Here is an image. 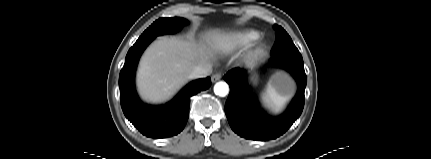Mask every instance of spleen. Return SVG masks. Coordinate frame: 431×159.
<instances>
[{"label":"spleen","mask_w":431,"mask_h":159,"mask_svg":"<svg viewBox=\"0 0 431 159\" xmlns=\"http://www.w3.org/2000/svg\"><path fill=\"white\" fill-rule=\"evenodd\" d=\"M261 101L265 107L278 112L289 101V97L278 94L269 84L265 92L262 93Z\"/></svg>","instance_id":"1"}]
</instances>
